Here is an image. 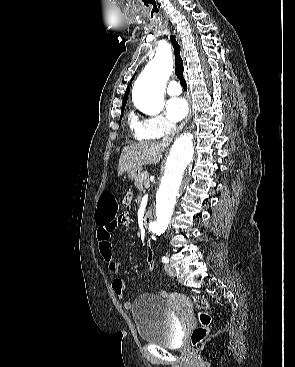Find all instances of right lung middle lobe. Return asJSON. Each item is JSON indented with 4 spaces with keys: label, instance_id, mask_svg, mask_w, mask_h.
Instances as JSON below:
<instances>
[{
    "label": "right lung middle lobe",
    "instance_id": "dd1d6c3e",
    "mask_svg": "<svg viewBox=\"0 0 295 367\" xmlns=\"http://www.w3.org/2000/svg\"><path fill=\"white\" fill-rule=\"evenodd\" d=\"M125 105H126V104L122 105V109H121V116L123 115V112H124V109H125Z\"/></svg>",
    "mask_w": 295,
    "mask_h": 367
}]
</instances>
